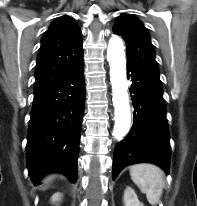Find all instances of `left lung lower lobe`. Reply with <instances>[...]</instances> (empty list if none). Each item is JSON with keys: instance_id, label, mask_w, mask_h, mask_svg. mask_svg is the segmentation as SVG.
Segmentation results:
<instances>
[{"instance_id": "0a47b994", "label": "left lung lower lobe", "mask_w": 197, "mask_h": 206, "mask_svg": "<svg viewBox=\"0 0 197 206\" xmlns=\"http://www.w3.org/2000/svg\"><path fill=\"white\" fill-rule=\"evenodd\" d=\"M127 76L135 113L129 134L115 146L113 180L125 166L139 162L156 164L169 173L170 135L162 86L130 64Z\"/></svg>"}]
</instances>
